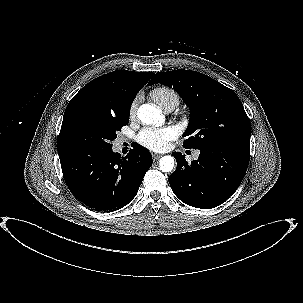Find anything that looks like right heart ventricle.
<instances>
[{"mask_svg": "<svg viewBox=\"0 0 303 303\" xmlns=\"http://www.w3.org/2000/svg\"><path fill=\"white\" fill-rule=\"evenodd\" d=\"M150 96L164 111L173 110L180 104L178 93L169 87H157Z\"/></svg>", "mask_w": 303, "mask_h": 303, "instance_id": "obj_1", "label": "right heart ventricle"}]
</instances>
